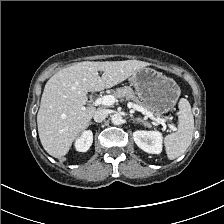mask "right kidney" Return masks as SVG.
<instances>
[{
  "instance_id": "1",
  "label": "right kidney",
  "mask_w": 224,
  "mask_h": 224,
  "mask_svg": "<svg viewBox=\"0 0 224 224\" xmlns=\"http://www.w3.org/2000/svg\"><path fill=\"white\" fill-rule=\"evenodd\" d=\"M93 133L91 130L83 131L76 139L75 148L79 152H86L92 145Z\"/></svg>"
}]
</instances>
